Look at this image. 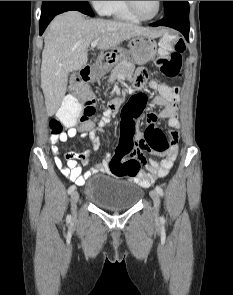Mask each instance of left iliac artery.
Here are the masks:
<instances>
[{
  "label": "left iliac artery",
  "mask_w": 233,
  "mask_h": 295,
  "mask_svg": "<svg viewBox=\"0 0 233 295\" xmlns=\"http://www.w3.org/2000/svg\"><path fill=\"white\" fill-rule=\"evenodd\" d=\"M155 190L158 192L159 195L163 196V189L160 186H156ZM163 220V217H162Z\"/></svg>",
  "instance_id": "left-iliac-artery-1"
}]
</instances>
